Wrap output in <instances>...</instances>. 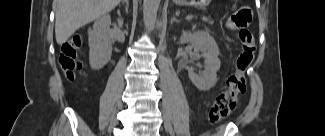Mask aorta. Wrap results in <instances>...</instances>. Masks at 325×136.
Returning a JSON list of instances; mask_svg holds the SVG:
<instances>
[{"label": "aorta", "mask_w": 325, "mask_h": 136, "mask_svg": "<svg viewBox=\"0 0 325 136\" xmlns=\"http://www.w3.org/2000/svg\"><path fill=\"white\" fill-rule=\"evenodd\" d=\"M159 4H160V0L143 1L144 24L149 30H152L154 28Z\"/></svg>", "instance_id": "762f6f07"}]
</instances>
